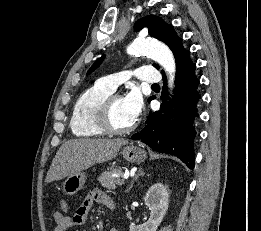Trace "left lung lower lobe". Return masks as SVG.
I'll use <instances>...</instances> for the list:
<instances>
[{
    "label": "left lung lower lobe",
    "instance_id": "0a47b994",
    "mask_svg": "<svg viewBox=\"0 0 261 231\" xmlns=\"http://www.w3.org/2000/svg\"><path fill=\"white\" fill-rule=\"evenodd\" d=\"M176 68L174 96L169 102L163 103L159 111L150 113L145 128L131 139L141 140L157 152L174 155L192 169L195 165L193 148L197 104L201 98L198 92L199 80L190 54L184 56ZM163 78L166 85L164 74ZM161 99L164 101L165 97Z\"/></svg>",
    "mask_w": 261,
    "mask_h": 231
}]
</instances>
